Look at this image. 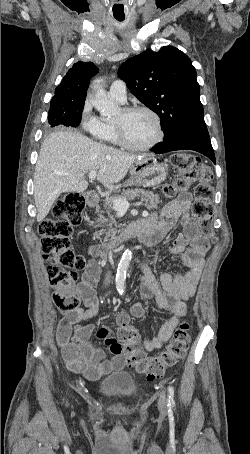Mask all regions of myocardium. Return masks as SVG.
Instances as JSON below:
<instances>
[{"label":"myocardium","instance_id":"myocardium-1","mask_svg":"<svg viewBox=\"0 0 250 454\" xmlns=\"http://www.w3.org/2000/svg\"><path fill=\"white\" fill-rule=\"evenodd\" d=\"M122 111L126 114L138 112V111L148 113L155 121L157 134L154 137V139L151 142H149L148 144L143 145V146H137L128 141L122 125L120 123L114 121L113 125H114V129L116 132L117 141L120 145H122L123 147H125L126 149H129L131 151L143 152V151H148V150L153 149L164 139V130H163L161 118L157 114V112H155L152 108H150L148 106H144V105H132V106L124 107L122 109Z\"/></svg>","mask_w":250,"mask_h":454}]
</instances>
